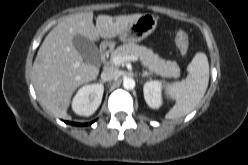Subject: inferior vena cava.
Wrapping results in <instances>:
<instances>
[{
	"instance_id": "1",
	"label": "inferior vena cava",
	"mask_w": 248,
	"mask_h": 165,
	"mask_svg": "<svg viewBox=\"0 0 248 165\" xmlns=\"http://www.w3.org/2000/svg\"><path fill=\"white\" fill-rule=\"evenodd\" d=\"M119 71L116 69H105L102 73H101V79L102 81L106 82V81H111L113 79H116L119 76Z\"/></svg>"
}]
</instances>
